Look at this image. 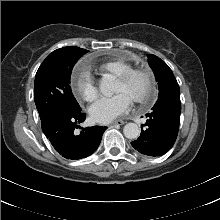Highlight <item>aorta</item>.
Here are the masks:
<instances>
[{
  "instance_id": "aorta-1",
  "label": "aorta",
  "mask_w": 220,
  "mask_h": 220,
  "mask_svg": "<svg viewBox=\"0 0 220 220\" xmlns=\"http://www.w3.org/2000/svg\"><path fill=\"white\" fill-rule=\"evenodd\" d=\"M100 89L105 96H109L114 92V84L110 81L104 80ZM123 133L128 139H137L140 136L141 130L136 123L130 122L124 126Z\"/></svg>"
}]
</instances>
